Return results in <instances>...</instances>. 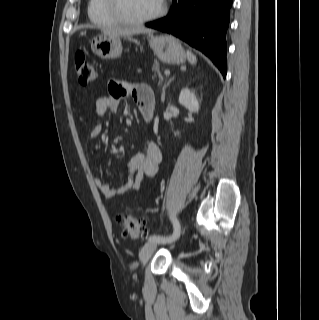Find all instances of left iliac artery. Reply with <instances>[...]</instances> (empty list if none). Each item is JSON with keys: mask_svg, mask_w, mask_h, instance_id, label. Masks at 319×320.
Listing matches in <instances>:
<instances>
[{"mask_svg": "<svg viewBox=\"0 0 319 320\" xmlns=\"http://www.w3.org/2000/svg\"><path fill=\"white\" fill-rule=\"evenodd\" d=\"M171 220L174 228L172 235L167 237H163L160 235H152L149 237V241H154V242L163 243V244L172 243L176 241L180 237L181 227H180L179 221L174 216H171Z\"/></svg>", "mask_w": 319, "mask_h": 320, "instance_id": "44dca946", "label": "left iliac artery"}]
</instances>
